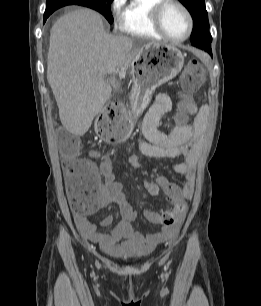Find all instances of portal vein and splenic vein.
Segmentation results:
<instances>
[{
  "mask_svg": "<svg viewBox=\"0 0 261 306\" xmlns=\"http://www.w3.org/2000/svg\"><path fill=\"white\" fill-rule=\"evenodd\" d=\"M119 74H120V75L124 74V71H123V70H121V71L119 72Z\"/></svg>",
  "mask_w": 261,
  "mask_h": 306,
  "instance_id": "portal-vein-and-splenic-vein-1",
  "label": "portal vein and splenic vein"
}]
</instances>
